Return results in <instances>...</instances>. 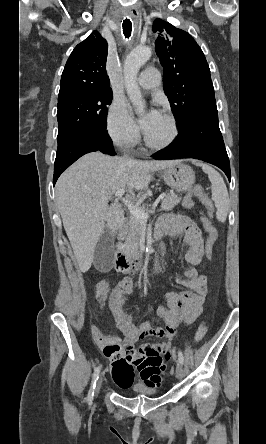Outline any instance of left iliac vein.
Segmentation results:
<instances>
[{"label":"left iliac vein","mask_w":266,"mask_h":444,"mask_svg":"<svg viewBox=\"0 0 266 444\" xmlns=\"http://www.w3.org/2000/svg\"><path fill=\"white\" fill-rule=\"evenodd\" d=\"M184 376V368L182 363L178 362L176 366V377L178 380H181Z\"/></svg>","instance_id":"obj_1"}]
</instances>
